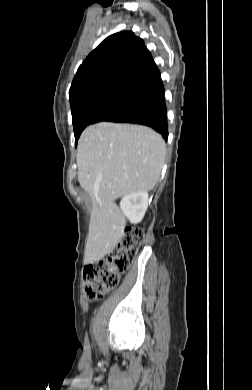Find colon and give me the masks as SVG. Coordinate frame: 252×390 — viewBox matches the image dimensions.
<instances>
[{
    "label": "colon",
    "mask_w": 252,
    "mask_h": 390,
    "mask_svg": "<svg viewBox=\"0 0 252 390\" xmlns=\"http://www.w3.org/2000/svg\"><path fill=\"white\" fill-rule=\"evenodd\" d=\"M143 236L140 229L131 230L120 239L107 258L85 267V290L89 300L102 298L118 285L120 275L133 263Z\"/></svg>",
    "instance_id": "1"
}]
</instances>
